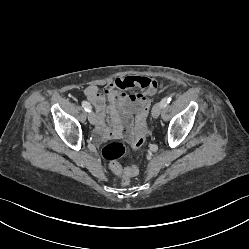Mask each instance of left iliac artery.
Segmentation results:
<instances>
[{
  "mask_svg": "<svg viewBox=\"0 0 249 249\" xmlns=\"http://www.w3.org/2000/svg\"><path fill=\"white\" fill-rule=\"evenodd\" d=\"M171 101V97H167V98H164L162 101H161V106L162 107H166Z\"/></svg>",
  "mask_w": 249,
  "mask_h": 249,
  "instance_id": "1",
  "label": "left iliac artery"
}]
</instances>
